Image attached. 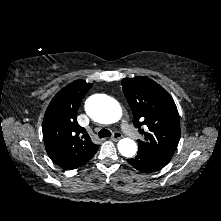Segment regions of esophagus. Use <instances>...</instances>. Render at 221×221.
<instances>
[{
	"instance_id": "obj_1",
	"label": "esophagus",
	"mask_w": 221,
	"mask_h": 221,
	"mask_svg": "<svg viewBox=\"0 0 221 221\" xmlns=\"http://www.w3.org/2000/svg\"><path fill=\"white\" fill-rule=\"evenodd\" d=\"M123 137V135L120 132H114V134L112 135L111 139L113 141H117L119 139H121Z\"/></svg>"
}]
</instances>
